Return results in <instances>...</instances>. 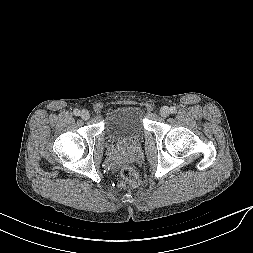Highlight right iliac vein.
<instances>
[{
	"label": "right iliac vein",
	"instance_id": "63e3f726",
	"mask_svg": "<svg viewBox=\"0 0 253 253\" xmlns=\"http://www.w3.org/2000/svg\"><path fill=\"white\" fill-rule=\"evenodd\" d=\"M80 116L83 120H88L90 118V114L87 110H82Z\"/></svg>",
	"mask_w": 253,
	"mask_h": 253
}]
</instances>
